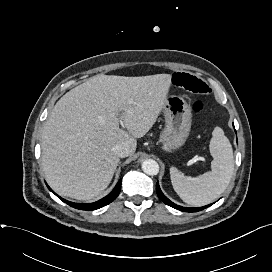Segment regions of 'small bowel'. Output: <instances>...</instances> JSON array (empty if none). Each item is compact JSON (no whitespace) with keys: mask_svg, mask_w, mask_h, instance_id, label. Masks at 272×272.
<instances>
[{"mask_svg":"<svg viewBox=\"0 0 272 272\" xmlns=\"http://www.w3.org/2000/svg\"><path fill=\"white\" fill-rule=\"evenodd\" d=\"M173 86L194 95H207L211 92L209 85L201 78L184 72H176L171 75Z\"/></svg>","mask_w":272,"mask_h":272,"instance_id":"1","label":"small bowel"}]
</instances>
